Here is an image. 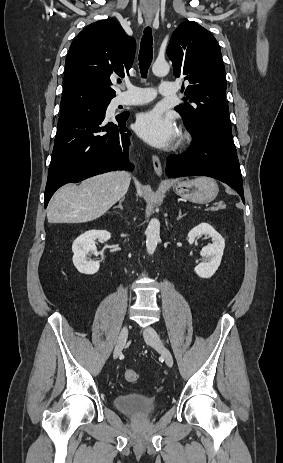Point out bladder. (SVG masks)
<instances>
[{
	"label": "bladder",
	"instance_id": "bladder-1",
	"mask_svg": "<svg viewBox=\"0 0 283 463\" xmlns=\"http://www.w3.org/2000/svg\"><path fill=\"white\" fill-rule=\"evenodd\" d=\"M114 403L118 411L130 417H147L158 408V401L154 396L135 392L117 395Z\"/></svg>",
	"mask_w": 283,
	"mask_h": 463
}]
</instances>
